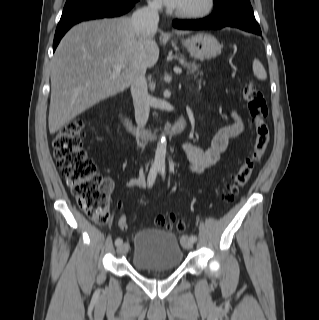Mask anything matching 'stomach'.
Masks as SVG:
<instances>
[{
	"instance_id": "stomach-1",
	"label": "stomach",
	"mask_w": 319,
	"mask_h": 320,
	"mask_svg": "<svg viewBox=\"0 0 319 320\" xmlns=\"http://www.w3.org/2000/svg\"><path fill=\"white\" fill-rule=\"evenodd\" d=\"M190 56L198 59H212L217 57L222 50L218 40L208 33H198L181 41Z\"/></svg>"
}]
</instances>
